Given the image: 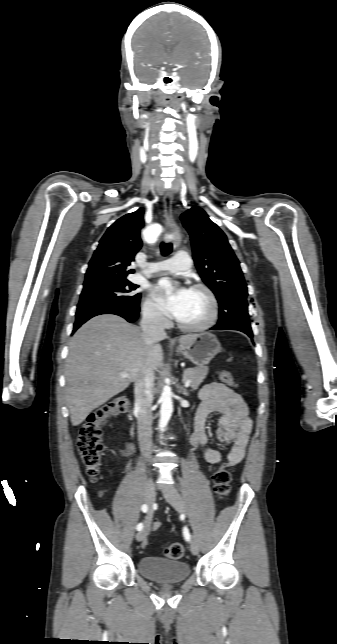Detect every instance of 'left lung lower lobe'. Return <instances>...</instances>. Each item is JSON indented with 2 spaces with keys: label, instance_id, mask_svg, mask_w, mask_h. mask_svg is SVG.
Instances as JSON below:
<instances>
[{
  "label": "left lung lower lobe",
  "instance_id": "obj_1",
  "mask_svg": "<svg viewBox=\"0 0 337 644\" xmlns=\"http://www.w3.org/2000/svg\"><path fill=\"white\" fill-rule=\"evenodd\" d=\"M211 330H234V329H231L229 327L214 326L211 328ZM249 337L252 338L253 336L250 335Z\"/></svg>",
  "mask_w": 337,
  "mask_h": 644
}]
</instances>
